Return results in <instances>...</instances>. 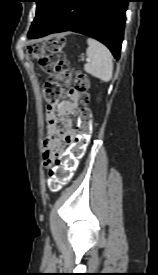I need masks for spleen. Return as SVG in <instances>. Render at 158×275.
I'll return each mask as SVG.
<instances>
[{
	"mask_svg": "<svg viewBox=\"0 0 158 275\" xmlns=\"http://www.w3.org/2000/svg\"><path fill=\"white\" fill-rule=\"evenodd\" d=\"M87 43L86 55L90 62L85 64V71L103 82L110 81L113 75L111 52L105 45L95 39L88 38Z\"/></svg>",
	"mask_w": 158,
	"mask_h": 275,
	"instance_id": "obj_1",
	"label": "spleen"
}]
</instances>
